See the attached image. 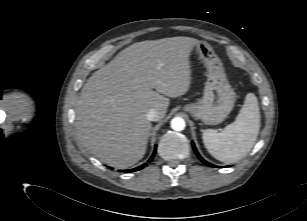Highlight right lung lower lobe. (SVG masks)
<instances>
[{"instance_id":"obj_1","label":"right lung lower lobe","mask_w":307,"mask_h":221,"mask_svg":"<svg viewBox=\"0 0 307 221\" xmlns=\"http://www.w3.org/2000/svg\"><path fill=\"white\" fill-rule=\"evenodd\" d=\"M155 152H156V150H154L153 155L155 154ZM152 159H153V156H152V157H151V158L148 160V162H151V161H152ZM146 165H147V164H146V163H144V164H142L141 166H139V167H137V168L130 169V170H125L124 172H134V171H138V170H140V169L144 168Z\"/></svg>"}]
</instances>
